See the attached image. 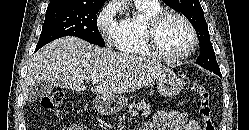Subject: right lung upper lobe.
Segmentation results:
<instances>
[{
  "label": "right lung upper lobe",
  "instance_id": "obj_1",
  "mask_svg": "<svg viewBox=\"0 0 249 130\" xmlns=\"http://www.w3.org/2000/svg\"><path fill=\"white\" fill-rule=\"evenodd\" d=\"M74 3V4H81V5H98V4H104L105 0H50L49 5L55 4V3Z\"/></svg>",
  "mask_w": 249,
  "mask_h": 130
}]
</instances>
